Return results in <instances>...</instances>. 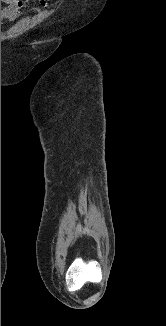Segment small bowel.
<instances>
[{"label": "small bowel", "mask_w": 166, "mask_h": 326, "mask_svg": "<svg viewBox=\"0 0 166 326\" xmlns=\"http://www.w3.org/2000/svg\"><path fill=\"white\" fill-rule=\"evenodd\" d=\"M31 0H1L5 3V7L1 9V20H13L29 5ZM37 1L38 4L43 7L46 4V0H33Z\"/></svg>", "instance_id": "small-bowel-1"}]
</instances>
